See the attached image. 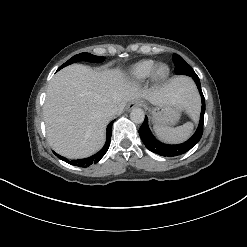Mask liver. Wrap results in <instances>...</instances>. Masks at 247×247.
Returning a JSON list of instances; mask_svg holds the SVG:
<instances>
[{"instance_id": "6515ba94", "label": "liver", "mask_w": 247, "mask_h": 247, "mask_svg": "<svg viewBox=\"0 0 247 247\" xmlns=\"http://www.w3.org/2000/svg\"><path fill=\"white\" fill-rule=\"evenodd\" d=\"M138 98L152 105L180 103L190 112L195 108L189 83L182 77L142 90L119 69L96 71L81 64L65 67L50 81L43 108L49 144L67 158L91 156L105 142L110 120L105 110L117 107L120 112Z\"/></svg>"}]
</instances>
